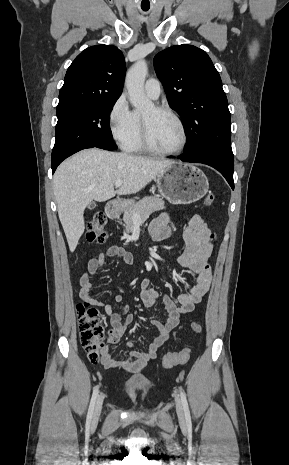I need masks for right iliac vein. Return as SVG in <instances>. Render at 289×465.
<instances>
[{
    "label": "right iliac vein",
    "instance_id": "1",
    "mask_svg": "<svg viewBox=\"0 0 289 465\" xmlns=\"http://www.w3.org/2000/svg\"><path fill=\"white\" fill-rule=\"evenodd\" d=\"M103 400H104V395H100L97 399V402H96V406H95V409H94V414H93V421H97L99 416H100V413H101V410H102V405H103Z\"/></svg>",
    "mask_w": 289,
    "mask_h": 465
}]
</instances>
